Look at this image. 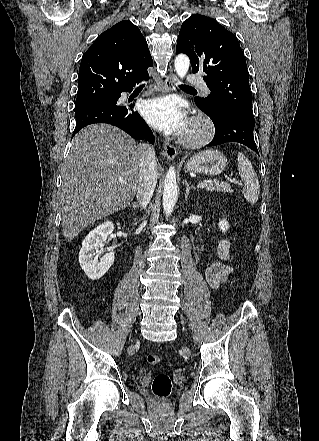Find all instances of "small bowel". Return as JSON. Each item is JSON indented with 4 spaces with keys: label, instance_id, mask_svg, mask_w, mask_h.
<instances>
[{
    "label": "small bowel",
    "instance_id": "obj_1",
    "mask_svg": "<svg viewBox=\"0 0 319 441\" xmlns=\"http://www.w3.org/2000/svg\"><path fill=\"white\" fill-rule=\"evenodd\" d=\"M230 242L228 239L222 240L218 245V255L221 260L229 259ZM231 268L222 262L210 265L206 272V280L212 288H219L228 278Z\"/></svg>",
    "mask_w": 319,
    "mask_h": 441
}]
</instances>
